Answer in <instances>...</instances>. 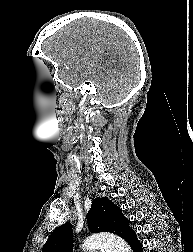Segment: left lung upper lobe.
<instances>
[{"label": "left lung upper lobe", "instance_id": "1", "mask_svg": "<svg viewBox=\"0 0 193 252\" xmlns=\"http://www.w3.org/2000/svg\"><path fill=\"white\" fill-rule=\"evenodd\" d=\"M88 228L91 232H111L126 240L133 229L121 209L108 198H96L87 214ZM72 224L65 223L56 228L42 248V252H72Z\"/></svg>", "mask_w": 193, "mask_h": 252}]
</instances>
